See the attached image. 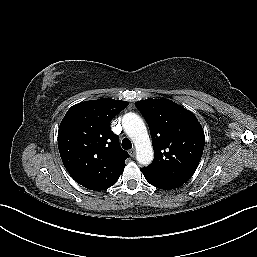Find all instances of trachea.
<instances>
[{"label":"trachea","mask_w":257,"mask_h":257,"mask_svg":"<svg viewBox=\"0 0 257 257\" xmlns=\"http://www.w3.org/2000/svg\"><path fill=\"white\" fill-rule=\"evenodd\" d=\"M122 148L125 150H129L132 148V143L128 138H124L122 140Z\"/></svg>","instance_id":"1"}]
</instances>
